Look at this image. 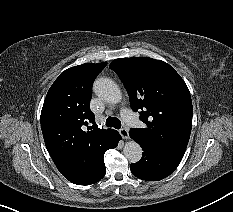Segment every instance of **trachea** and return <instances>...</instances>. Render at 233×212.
I'll return each instance as SVG.
<instances>
[{"instance_id":"obj_1","label":"trachea","mask_w":233,"mask_h":212,"mask_svg":"<svg viewBox=\"0 0 233 212\" xmlns=\"http://www.w3.org/2000/svg\"><path fill=\"white\" fill-rule=\"evenodd\" d=\"M106 126L120 129L121 128V121L116 117H108L106 119Z\"/></svg>"}]
</instances>
